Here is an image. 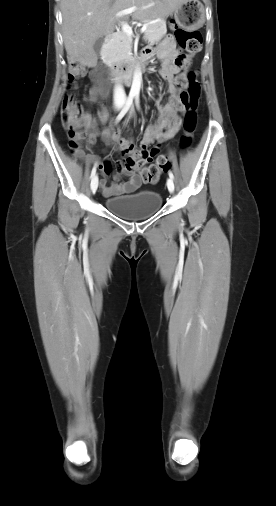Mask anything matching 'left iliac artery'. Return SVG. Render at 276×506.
<instances>
[{
    "label": "left iliac artery",
    "instance_id": "1",
    "mask_svg": "<svg viewBox=\"0 0 276 506\" xmlns=\"http://www.w3.org/2000/svg\"><path fill=\"white\" fill-rule=\"evenodd\" d=\"M135 103H136L137 108L139 109V94L135 95ZM169 177L171 179H174V175L171 171H169Z\"/></svg>",
    "mask_w": 276,
    "mask_h": 506
}]
</instances>
